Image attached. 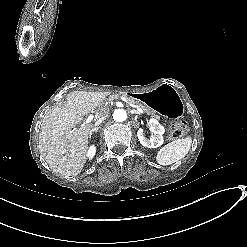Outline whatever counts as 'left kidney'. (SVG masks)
Masks as SVG:
<instances>
[{"label":"left kidney","mask_w":247,"mask_h":247,"mask_svg":"<svg viewBox=\"0 0 247 247\" xmlns=\"http://www.w3.org/2000/svg\"><path fill=\"white\" fill-rule=\"evenodd\" d=\"M147 125L151 132V138L146 139L144 136V130L139 128L137 130V138L140 144L146 148H157L161 146L163 142L162 134L164 132V128L153 119L149 120Z\"/></svg>","instance_id":"left-kidney-1"}]
</instances>
